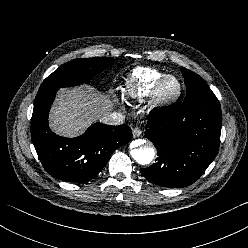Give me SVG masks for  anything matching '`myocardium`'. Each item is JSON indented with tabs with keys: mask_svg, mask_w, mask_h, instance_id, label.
Listing matches in <instances>:
<instances>
[{
	"mask_svg": "<svg viewBox=\"0 0 248 248\" xmlns=\"http://www.w3.org/2000/svg\"><path fill=\"white\" fill-rule=\"evenodd\" d=\"M169 80H175L177 82L178 87H177V91L173 95L166 96L163 93V89L165 84ZM182 92H183V85L181 80L175 75H166L158 82L152 93L153 104L158 108L169 107L175 104L180 99Z\"/></svg>",
	"mask_w": 248,
	"mask_h": 248,
	"instance_id": "myocardium-1",
	"label": "myocardium"
}]
</instances>
